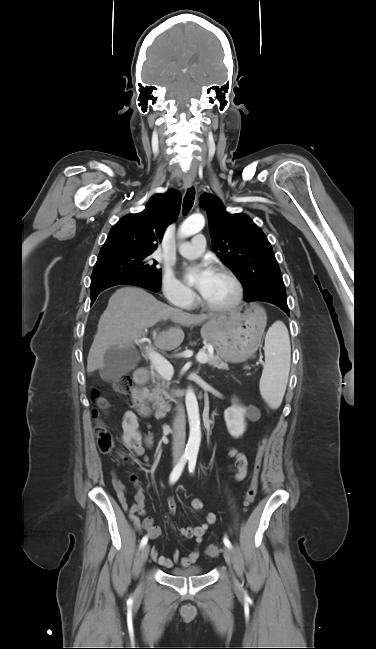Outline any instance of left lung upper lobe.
I'll use <instances>...</instances> for the list:
<instances>
[{
    "label": "left lung upper lobe",
    "instance_id": "5c2ea615",
    "mask_svg": "<svg viewBox=\"0 0 376 649\" xmlns=\"http://www.w3.org/2000/svg\"><path fill=\"white\" fill-rule=\"evenodd\" d=\"M199 200L208 215L214 251L241 277L246 286L245 301L272 298L286 302L281 271L260 228L246 214H229L221 200L210 193L202 194Z\"/></svg>",
    "mask_w": 376,
    "mask_h": 649
}]
</instances>
